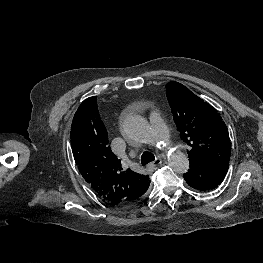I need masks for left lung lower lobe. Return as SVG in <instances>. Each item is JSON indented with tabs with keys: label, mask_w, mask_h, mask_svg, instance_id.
I'll return each mask as SVG.
<instances>
[{
	"label": "left lung lower lobe",
	"mask_w": 263,
	"mask_h": 263,
	"mask_svg": "<svg viewBox=\"0 0 263 263\" xmlns=\"http://www.w3.org/2000/svg\"><path fill=\"white\" fill-rule=\"evenodd\" d=\"M229 163L215 165H199L190 163V169L184 174V179L194 189L209 191L218 187L224 180Z\"/></svg>",
	"instance_id": "0a47b994"
}]
</instances>
